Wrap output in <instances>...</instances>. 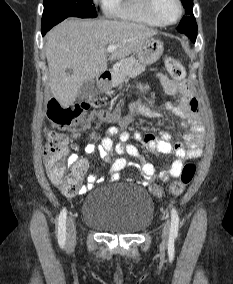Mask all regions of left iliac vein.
Returning <instances> with one entry per match:
<instances>
[{
    "label": "left iliac vein",
    "mask_w": 233,
    "mask_h": 284,
    "mask_svg": "<svg viewBox=\"0 0 233 284\" xmlns=\"http://www.w3.org/2000/svg\"><path fill=\"white\" fill-rule=\"evenodd\" d=\"M169 233H170V223L167 221L164 225L163 232H162V239H163L164 244L168 242Z\"/></svg>",
    "instance_id": "4c4485c4"
}]
</instances>
